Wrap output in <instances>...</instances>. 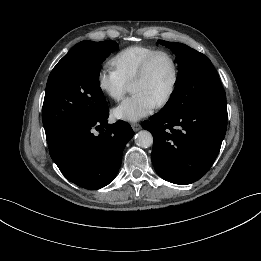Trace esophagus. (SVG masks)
Segmentation results:
<instances>
[{
    "label": "esophagus",
    "instance_id": "obj_1",
    "mask_svg": "<svg viewBox=\"0 0 261 261\" xmlns=\"http://www.w3.org/2000/svg\"><path fill=\"white\" fill-rule=\"evenodd\" d=\"M131 127L135 132L139 131L142 128L139 123H132Z\"/></svg>",
    "mask_w": 261,
    "mask_h": 261
}]
</instances>
